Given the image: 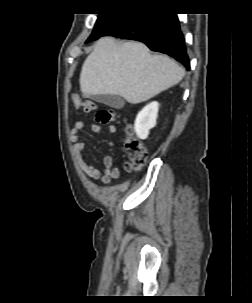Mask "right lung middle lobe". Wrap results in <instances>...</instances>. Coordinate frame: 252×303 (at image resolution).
<instances>
[{"instance_id":"1","label":"right lung middle lobe","mask_w":252,"mask_h":303,"mask_svg":"<svg viewBox=\"0 0 252 303\" xmlns=\"http://www.w3.org/2000/svg\"><path fill=\"white\" fill-rule=\"evenodd\" d=\"M121 14L116 13V14H100L98 16V19L96 21L94 30L86 43L96 40L99 37H101L119 18Z\"/></svg>"}]
</instances>
